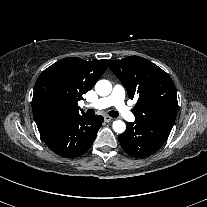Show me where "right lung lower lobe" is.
Returning a JSON list of instances; mask_svg holds the SVG:
<instances>
[{
	"instance_id": "right-lung-lower-lobe-1",
	"label": "right lung lower lobe",
	"mask_w": 207,
	"mask_h": 207,
	"mask_svg": "<svg viewBox=\"0 0 207 207\" xmlns=\"http://www.w3.org/2000/svg\"><path fill=\"white\" fill-rule=\"evenodd\" d=\"M102 122L103 117L100 115H75L39 132L53 152L62 157L75 158L91 147Z\"/></svg>"
}]
</instances>
